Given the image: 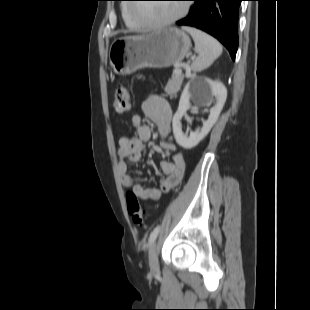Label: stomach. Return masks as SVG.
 <instances>
[{"instance_id": "stomach-1", "label": "stomach", "mask_w": 310, "mask_h": 310, "mask_svg": "<svg viewBox=\"0 0 310 310\" xmlns=\"http://www.w3.org/2000/svg\"><path fill=\"white\" fill-rule=\"evenodd\" d=\"M190 47V37L170 27L147 35L115 39L109 49V62L117 75L143 68H166L182 61Z\"/></svg>"}]
</instances>
